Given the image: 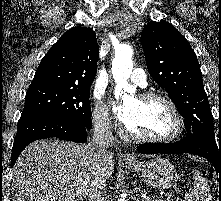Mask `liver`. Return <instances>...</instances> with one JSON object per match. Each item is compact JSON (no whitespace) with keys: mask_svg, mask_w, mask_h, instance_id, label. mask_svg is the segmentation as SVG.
Here are the masks:
<instances>
[{"mask_svg":"<svg viewBox=\"0 0 221 201\" xmlns=\"http://www.w3.org/2000/svg\"><path fill=\"white\" fill-rule=\"evenodd\" d=\"M89 144L44 139L28 145L13 167L12 201H83L94 173ZM113 170L110 153L106 180Z\"/></svg>","mask_w":221,"mask_h":201,"instance_id":"6515ba94","label":"liver"}]
</instances>
